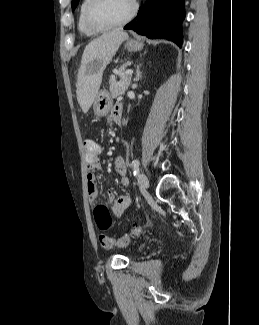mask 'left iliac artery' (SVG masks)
Masks as SVG:
<instances>
[{"instance_id":"obj_1","label":"left iliac artery","mask_w":259,"mask_h":325,"mask_svg":"<svg viewBox=\"0 0 259 325\" xmlns=\"http://www.w3.org/2000/svg\"><path fill=\"white\" fill-rule=\"evenodd\" d=\"M135 164H140V163H139V160L135 159V160L132 161V163H131V167H132V169L134 168V165H135Z\"/></svg>"}]
</instances>
